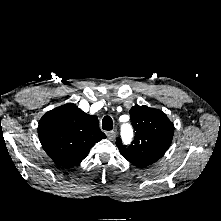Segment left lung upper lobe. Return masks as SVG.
I'll return each mask as SVG.
<instances>
[{"mask_svg":"<svg viewBox=\"0 0 221 221\" xmlns=\"http://www.w3.org/2000/svg\"><path fill=\"white\" fill-rule=\"evenodd\" d=\"M135 138L129 146L116 141L120 153L130 163L146 167L160 159L171 144L174 125L161 110L135 105L130 110Z\"/></svg>","mask_w":221,"mask_h":221,"instance_id":"5c2ea615","label":"left lung upper lobe"}]
</instances>
